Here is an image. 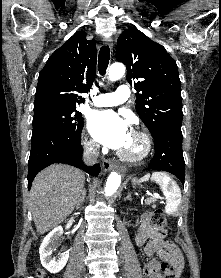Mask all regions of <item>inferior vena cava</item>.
I'll return each instance as SVG.
<instances>
[{
    "label": "inferior vena cava",
    "mask_w": 221,
    "mask_h": 278,
    "mask_svg": "<svg viewBox=\"0 0 221 278\" xmlns=\"http://www.w3.org/2000/svg\"><path fill=\"white\" fill-rule=\"evenodd\" d=\"M99 152L97 149L86 150L83 154V160L87 165H93L97 162Z\"/></svg>",
    "instance_id": "inferior-vena-cava-1"
}]
</instances>
